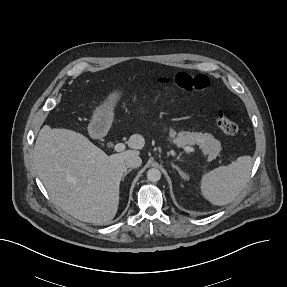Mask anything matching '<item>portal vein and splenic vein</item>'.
<instances>
[{
	"mask_svg": "<svg viewBox=\"0 0 287 287\" xmlns=\"http://www.w3.org/2000/svg\"><path fill=\"white\" fill-rule=\"evenodd\" d=\"M181 146H182V148H183L185 151H187V152H194V151H195V149H194L193 147H191V146H187V145H185V144H183V145H181ZM125 148H126V146H125V144H123V143H117V144L114 146V150H115L116 152H122V151L125 150Z\"/></svg>",
	"mask_w": 287,
	"mask_h": 287,
	"instance_id": "portal-vein-and-splenic-vein-1",
	"label": "portal vein and splenic vein"
}]
</instances>
